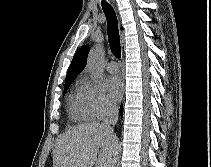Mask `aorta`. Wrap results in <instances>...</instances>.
<instances>
[{"mask_svg":"<svg viewBox=\"0 0 211 167\" xmlns=\"http://www.w3.org/2000/svg\"><path fill=\"white\" fill-rule=\"evenodd\" d=\"M103 56V48L101 46H96L91 50L87 60V67L96 80L101 79L103 76Z\"/></svg>","mask_w":211,"mask_h":167,"instance_id":"aorta-1","label":"aorta"}]
</instances>
